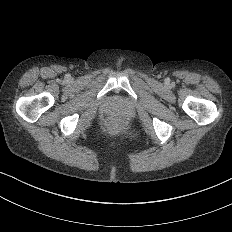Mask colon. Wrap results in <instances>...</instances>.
Instances as JSON below:
<instances>
[{
    "mask_svg": "<svg viewBox=\"0 0 232 232\" xmlns=\"http://www.w3.org/2000/svg\"><path fill=\"white\" fill-rule=\"evenodd\" d=\"M109 130L113 134H120L124 130V123L120 119H113L109 123Z\"/></svg>",
    "mask_w": 232,
    "mask_h": 232,
    "instance_id": "5ec220e1",
    "label": "colon"
}]
</instances>
